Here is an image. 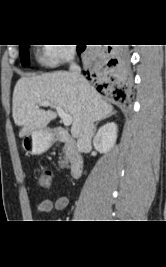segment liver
Returning a JSON list of instances; mask_svg holds the SVG:
<instances>
[{
  "mask_svg": "<svg viewBox=\"0 0 166 267\" xmlns=\"http://www.w3.org/2000/svg\"><path fill=\"white\" fill-rule=\"evenodd\" d=\"M87 85L85 93L65 71L21 77L15 85L12 101L14 122L22 126L19 136L24 137L33 130L45 128L57 117L51 110L40 109V102L48 101L72 116L71 133L74 137H78L87 114L93 121L112 115L113 107L88 82Z\"/></svg>",
  "mask_w": 166,
  "mask_h": 267,
  "instance_id": "6515ba94",
  "label": "liver"
}]
</instances>
